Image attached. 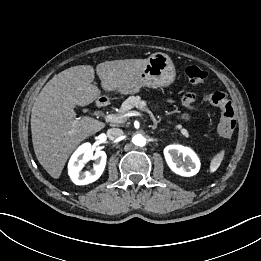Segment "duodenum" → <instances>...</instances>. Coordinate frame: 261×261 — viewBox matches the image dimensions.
Instances as JSON below:
<instances>
[{"mask_svg": "<svg viewBox=\"0 0 261 261\" xmlns=\"http://www.w3.org/2000/svg\"><path fill=\"white\" fill-rule=\"evenodd\" d=\"M97 104L100 106V107H104L108 104L107 100L105 98H101L99 99V101L97 102Z\"/></svg>", "mask_w": 261, "mask_h": 261, "instance_id": "410a0bca", "label": "duodenum"}]
</instances>
